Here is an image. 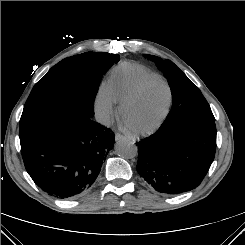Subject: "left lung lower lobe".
I'll list each match as a JSON object with an SVG mask.
<instances>
[{
  "label": "left lung lower lobe",
  "mask_w": 245,
  "mask_h": 245,
  "mask_svg": "<svg viewBox=\"0 0 245 245\" xmlns=\"http://www.w3.org/2000/svg\"><path fill=\"white\" fill-rule=\"evenodd\" d=\"M137 145L140 176L160 193L180 194L196 188L213 162L215 120L184 114Z\"/></svg>",
  "instance_id": "0a47b994"
}]
</instances>
